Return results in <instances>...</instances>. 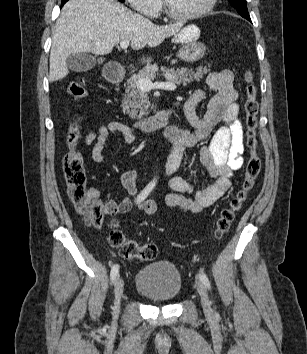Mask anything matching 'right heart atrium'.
<instances>
[{
    "instance_id": "d8ad5b80",
    "label": "right heart atrium",
    "mask_w": 307,
    "mask_h": 354,
    "mask_svg": "<svg viewBox=\"0 0 307 354\" xmlns=\"http://www.w3.org/2000/svg\"><path fill=\"white\" fill-rule=\"evenodd\" d=\"M136 11L148 17H154L161 8L160 0H126Z\"/></svg>"
}]
</instances>
